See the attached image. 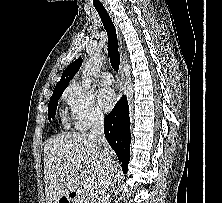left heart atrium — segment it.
<instances>
[{
    "label": "left heart atrium",
    "mask_w": 222,
    "mask_h": 203,
    "mask_svg": "<svg viewBox=\"0 0 222 203\" xmlns=\"http://www.w3.org/2000/svg\"><path fill=\"white\" fill-rule=\"evenodd\" d=\"M97 99L100 107L103 110L108 111L116 103L117 96L112 88L104 87L97 91Z\"/></svg>",
    "instance_id": "left-heart-atrium-1"
}]
</instances>
